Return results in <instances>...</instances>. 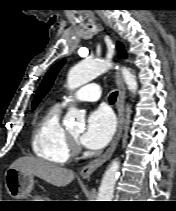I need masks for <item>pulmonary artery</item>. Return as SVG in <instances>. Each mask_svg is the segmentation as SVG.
<instances>
[{
  "label": "pulmonary artery",
  "mask_w": 176,
  "mask_h": 211,
  "mask_svg": "<svg viewBox=\"0 0 176 211\" xmlns=\"http://www.w3.org/2000/svg\"><path fill=\"white\" fill-rule=\"evenodd\" d=\"M101 97L100 87L96 83L87 84L81 87L74 95L75 101L95 102ZM62 105H67V101H63Z\"/></svg>",
  "instance_id": "pulmonary-artery-1"
}]
</instances>
